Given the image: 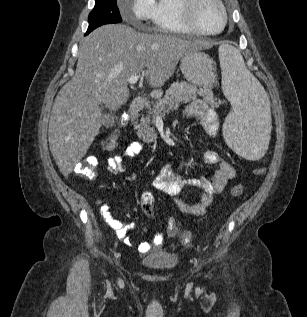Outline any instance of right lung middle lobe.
I'll list each match as a JSON object with an SVG mask.
<instances>
[{"mask_svg": "<svg viewBox=\"0 0 307 317\" xmlns=\"http://www.w3.org/2000/svg\"><path fill=\"white\" fill-rule=\"evenodd\" d=\"M121 21L116 0H96L94 9L89 14V27L86 35L101 25Z\"/></svg>", "mask_w": 307, "mask_h": 317, "instance_id": "right-lung-middle-lobe-1", "label": "right lung middle lobe"}]
</instances>
